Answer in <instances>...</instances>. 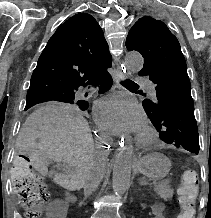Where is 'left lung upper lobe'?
<instances>
[{"label": "left lung upper lobe", "mask_w": 211, "mask_h": 218, "mask_svg": "<svg viewBox=\"0 0 211 218\" xmlns=\"http://www.w3.org/2000/svg\"><path fill=\"white\" fill-rule=\"evenodd\" d=\"M126 47L143 56L144 66L139 76H145L155 86V96L143 100L142 104L160 132V138L198 154L199 138L191 84L177 38L162 21L144 16L129 31Z\"/></svg>", "instance_id": "obj_1"}]
</instances>
